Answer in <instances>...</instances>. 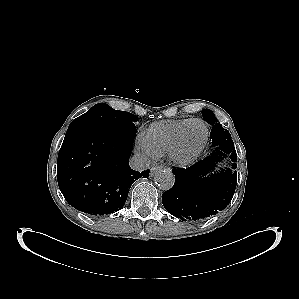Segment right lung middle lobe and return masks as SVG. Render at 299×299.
<instances>
[{
  "label": "right lung middle lobe",
  "mask_w": 299,
  "mask_h": 299,
  "mask_svg": "<svg viewBox=\"0 0 299 299\" xmlns=\"http://www.w3.org/2000/svg\"><path fill=\"white\" fill-rule=\"evenodd\" d=\"M137 120L138 117L132 113L118 111L105 103H98L85 114L74 119L67 132L104 128L136 129L134 122Z\"/></svg>",
  "instance_id": "1"
}]
</instances>
